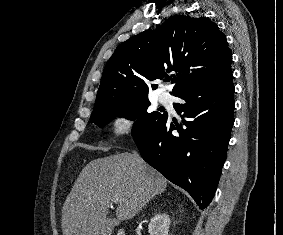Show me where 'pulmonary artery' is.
Returning a JSON list of instances; mask_svg holds the SVG:
<instances>
[{
  "instance_id": "e3ab8cb5",
  "label": "pulmonary artery",
  "mask_w": 283,
  "mask_h": 235,
  "mask_svg": "<svg viewBox=\"0 0 283 235\" xmlns=\"http://www.w3.org/2000/svg\"><path fill=\"white\" fill-rule=\"evenodd\" d=\"M160 100L162 103L169 104L171 103V95L167 92H164L160 95Z\"/></svg>"
}]
</instances>
